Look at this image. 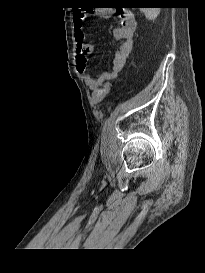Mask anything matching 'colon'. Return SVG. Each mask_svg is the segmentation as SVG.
Returning a JSON list of instances; mask_svg holds the SVG:
<instances>
[{
  "label": "colon",
  "mask_w": 205,
  "mask_h": 273,
  "mask_svg": "<svg viewBox=\"0 0 205 273\" xmlns=\"http://www.w3.org/2000/svg\"><path fill=\"white\" fill-rule=\"evenodd\" d=\"M110 90V84L106 83L104 84L96 93L94 94V98L96 102H100L105 95L109 92Z\"/></svg>",
  "instance_id": "1"
}]
</instances>
